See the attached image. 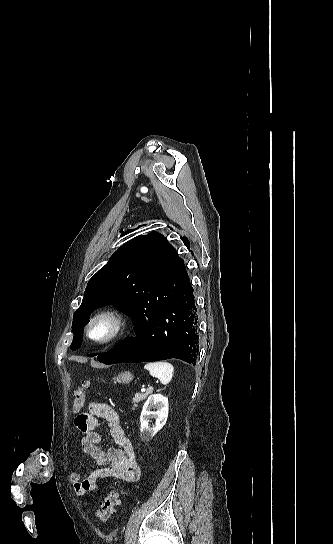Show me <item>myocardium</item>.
Masks as SVG:
<instances>
[{"label":"myocardium","instance_id":"myocardium-1","mask_svg":"<svg viewBox=\"0 0 333 544\" xmlns=\"http://www.w3.org/2000/svg\"><path fill=\"white\" fill-rule=\"evenodd\" d=\"M100 322L107 323L109 331L105 336L96 338L92 335V330ZM124 326L125 318L119 311L113 308H103L89 319L85 333L91 342L103 345L115 340L122 333Z\"/></svg>","mask_w":333,"mask_h":544}]
</instances>
